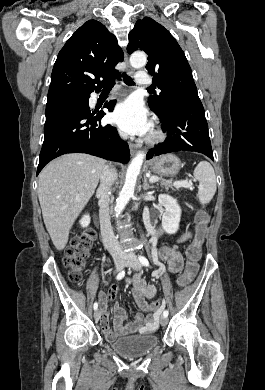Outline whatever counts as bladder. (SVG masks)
<instances>
[{
	"label": "bladder",
	"mask_w": 265,
	"mask_h": 390,
	"mask_svg": "<svg viewBox=\"0 0 265 390\" xmlns=\"http://www.w3.org/2000/svg\"><path fill=\"white\" fill-rule=\"evenodd\" d=\"M108 342L115 352L128 359L142 357L159 344L155 335H117Z\"/></svg>",
	"instance_id": "obj_1"
}]
</instances>
